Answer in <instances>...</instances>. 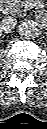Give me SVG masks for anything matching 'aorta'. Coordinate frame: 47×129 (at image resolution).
<instances>
[{
    "mask_svg": "<svg viewBox=\"0 0 47 129\" xmlns=\"http://www.w3.org/2000/svg\"><path fill=\"white\" fill-rule=\"evenodd\" d=\"M18 33L20 36L30 39L37 34V27L33 21L25 20L18 26Z\"/></svg>",
    "mask_w": 47,
    "mask_h": 129,
    "instance_id": "obj_1",
    "label": "aorta"
}]
</instances>
